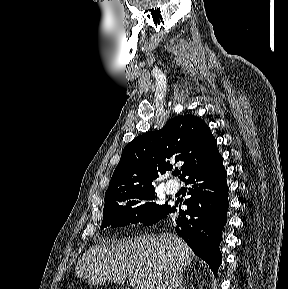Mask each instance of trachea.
I'll return each mask as SVG.
<instances>
[{"label":"trachea","mask_w":288,"mask_h":289,"mask_svg":"<svg viewBox=\"0 0 288 289\" xmlns=\"http://www.w3.org/2000/svg\"><path fill=\"white\" fill-rule=\"evenodd\" d=\"M181 172L179 171V170H176L175 172H174V175L175 176H177V175H179Z\"/></svg>","instance_id":"3493384b"}]
</instances>
